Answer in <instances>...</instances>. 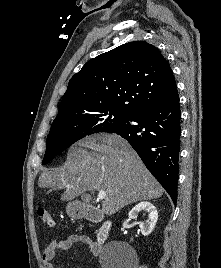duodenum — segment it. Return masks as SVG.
<instances>
[{"label": "duodenum", "instance_id": "410a0bca", "mask_svg": "<svg viewBox=\"0 0 221 268\" xmlns=\"http://www.w3.org/2000/svg\"><path fill=\"white\" fill-rule=\"evenodd\" d=\"M81 215L85 219L91 221V222H100L103 220L101 212L93 207H84L81 210ZM111 228V223L109 221L103 222L102 226L98 230L97 233V244L100 246L105 242V240L108 237L109 231Z\"/></svg>", "mask_w": 221, "mask_h": 268}]
</instances>
